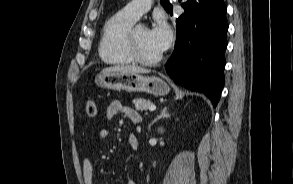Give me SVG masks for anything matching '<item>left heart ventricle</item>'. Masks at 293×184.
Returning a JSON list of instances; mask_svg holds the SVG:
<instances>
[{"instance_id":"left-heart-ventricle-1","label":"left heart ventricle","mask_w":293,"mask_h":184,"mask_svg":"<svg viewBox=\"0 0 293 184\" xmlns=\"http://www.w3.org/2000/svg\"><path fill=\"white\" fill-rule=\"evenodd\" d=\"M135 40L138 52L142 57L151 59L160 54L150 41L147 28L139 26L135 31Z\"/></svg>"}]
</instances>
